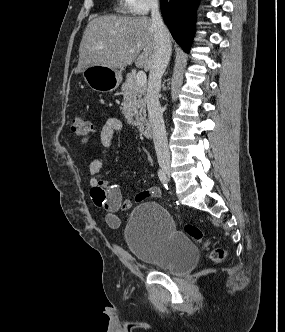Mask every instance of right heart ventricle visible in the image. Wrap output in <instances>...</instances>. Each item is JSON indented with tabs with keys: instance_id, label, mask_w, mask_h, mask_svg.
Instances as JSON below:
<instances>
[{
	"instance_id": "e07e8e85",
	"label": "right heart ventricle",
	"mask_w": 285,
	"mask_h": 332,
	"mask_svg": "<svg viewBox=\"0 0 285 332\" xmlns=\"http://www.w3.org/2000/svg\"><path fill=\"white\" fill-rule=\"evenodd\" d=\"M118 9L122 12L127 10L126 6H125V3H124V0H119V8Z\"/></svg>"
}]
</instances>
